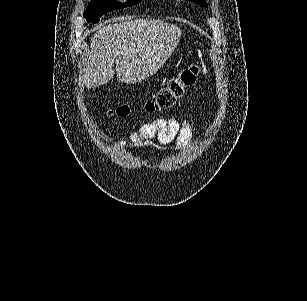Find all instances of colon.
<instances>
[{
	"label": "colon",
	"mask_w": 307,
	"mask_h": 301,
	"mask_svg": "<svg viewBox=\"0 0 307 301\" xmlns=\"http://www.w3.org/2000/svg\"><path fill=\"white\" fill-rule=\"evenodd\" d=\"M198 73L199 69L196 65L182 69L158 90L154 99L145 104V109L153 112L172 108L184 96L185 92L196 83ZM129 111L127 105H121L114 110V113L123 117L128 115Z\"/></svg>",
	"instance_id": "obj_1"
}]
</instances>
